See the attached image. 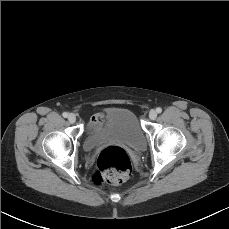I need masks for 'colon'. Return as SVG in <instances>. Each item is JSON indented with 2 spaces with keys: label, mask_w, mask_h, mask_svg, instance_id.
Segmentation results:
<instances>
[{
  "label": "colon",
  "mask_w": 229,
  "mask_h": 229,
  "mask_svg": "<svg viewBox=\"0 0 229 229\" xmlns=\"http://www.w3.org/2000/svg\"><path fill=\"white\" fill-rule=\"evenodd\" d=\"M131 172V161L124 149L118 146L104 148L97 159L94 181L120 184L126 181Z\"/></svg>",
  "instance_id": "5ec220e1"
}]
</instances>
